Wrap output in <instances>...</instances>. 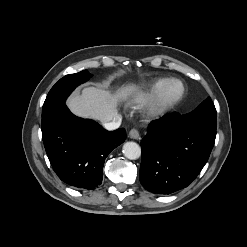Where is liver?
Here are the masks:
<instances>
[{
  "label": "liver",
  "mask_w": 247,
  "mask_h": 247,
  "mask_svg": "<svg viewBox=\"0 0 247 247\" xmlns=\"http://www.w3.org/2000/svg\"><path fill=\"white\" fill-rule=\"evenodd\" d=\"M138 90V86L130 84L122 88L118 94L112 95L101 87H85L81 94L69 97L67 106L77 116L106 123L112 121L118 115V100L126 99Z\"/></svg>",
  "instance_id": "liver-1"
}]
</instances>
